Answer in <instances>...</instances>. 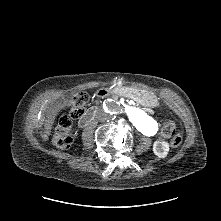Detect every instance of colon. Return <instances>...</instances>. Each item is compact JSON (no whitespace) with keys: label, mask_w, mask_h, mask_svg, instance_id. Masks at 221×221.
Here are the masks:
<instances>
[{"label":"colon","mask_w":221,"mask_h":221,"mask_svg":"<svg viewBox=\"0 0 221 221\" xmlns=\"http://www.w3.org/2000/svg\"><path fill=\"white\" fill-rule=\"evenodd\" d=\"M89 102V95L85 92L74 94L68 98L69 111L62 113L53 136L54 144L62 149L69 148L73 144L74 133L72 119L77 118ZM161 135L170 138L172 147L182 143V133L176 128L172 121H166L161 128Z\"/></svg>","instance_id":"obj_1"}]
</instances>
